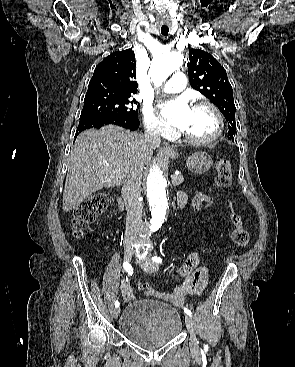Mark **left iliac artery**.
Returning a JSON list of instances; mask_svg holds the SVG:
<instances>
[{
	"label": "left iliac artery",
	"instance_id": "44dca946",
	"mask_svg": "<svg viewBox=\"0 0 295 367\" xmlns=\"http://www.w3.org/2000/svg\"><path fill=\"white\" fill-rule=\"evenodd\" d=\"M152 261H153V262H156V263H159V264H161V263H162V259H161L160 257H158V256H153V257H152ZM183 310H184V312H185L187 315H189V316H191V315H192L191 311H190L188 308L184 307V308H183Z\"/></svg>",
	"mask_w": 295,
	"mask_h": 367
}]
</instances>
